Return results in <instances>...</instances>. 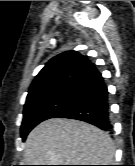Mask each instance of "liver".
I'll list each match as a JSON object with an SVG mask.
<instances>
[{
    "label": "liver",
    "mask_w": 135,
    "mask_h": 166,
    "mask_svg": "<svg viewBox=\"0 0 135 166\" xmlns=\"http://www.w3.org/2000/svg\"><path fill=\"white\" fill-rule=\"evenodd\" d=\"M114 156L115 147L107 133L74 119L46 120L25 142L29 165H111Z\"/></svg>",
    "instance_id": "6515ba94"
}]
</instances>
